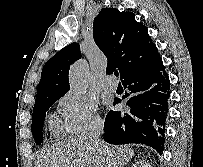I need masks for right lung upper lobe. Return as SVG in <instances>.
Returning <instances> with one entry per match:
<instances>
[{"label":"right lung upper lobe","mask_w":203,"mask_h":167,"mask_svg":"<svg viewBox=\"0 0 203 167\" xmlns=\"http://www.w3.org/2000/svg\"><path fill=\"white\" fill-rule=\"evenodd\" d=\"M96 45L108 60L106 71L118 68L121 80L160 58L147 28L135 21L131 12L114 8L102 9L93 23ZM81 58L78 43H72L56 53L43 67L35 104L54 97H62L70 90V65Z\"/></svg>","instance_id":"obj_1"}]
</instances>
